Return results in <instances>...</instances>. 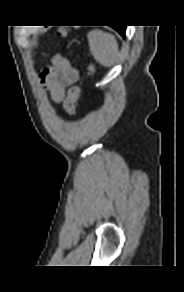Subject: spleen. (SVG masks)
<instances>
[{
  "label": "spleen",
  "mask_w": 184,
  "mask_h": 292,
  "mask_svg": "<svg viewBox=\"0 0 184 292\" xmlns=\"http://www.w3.org/2000/svg\"><path fill=\"white\" fill-rule=\"evenodd\" d=\"M90 51L97 62L110 67L118 54V43L115 37L100 30L88 34Z\"/></svg>",
  "instance_id": "1"
}]
</instances>
